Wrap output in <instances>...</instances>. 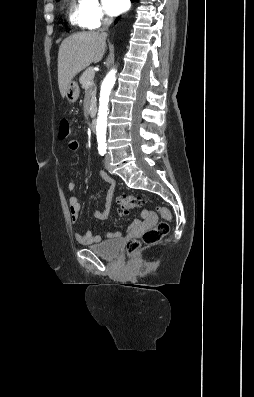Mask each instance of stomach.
<instances>
[{"label":"stomach","mask_w":254,"mask_h":397,"mask_svg":"<svg viewBox=\"0 0 254 397\" xmlns=\"http://www.w3.org/2000/svg\"><path fill=\"white\" fill-rule=\"evenodd\" d=\"M80 94V89L79 85L76 81H70V83L67 86L65 97L68 102L74 103L77 101L79 98Z\"/></svg>","instance_id":"1"}]
</instances>
